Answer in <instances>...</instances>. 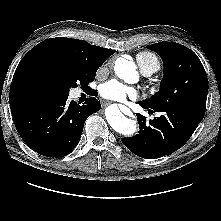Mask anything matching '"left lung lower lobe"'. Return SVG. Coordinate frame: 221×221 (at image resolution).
I'll return each instance as SVG.
<instances>
[{
	"instance_id": "obj_1",
	"label": "left lung lower lobe",
	"mask_w": 221,
	"mask_h": 221,
	"mask_svg": "<svg viewBox=\"0 0 221 221\" xmlns=\"http://www.w3.org/2000/svg\"><path fill=\"white\" fill-rule=\"evenodd\" d=\"M139 104L142 108L152 109L143 102ZM155 111L163 113L149 123H146V117L136 114L140 126L139 134L121 139L131 152L146 159H156L181 148L191 137L205 112L186 110L183 107Z\"/></svg>"
}]
</instances>
